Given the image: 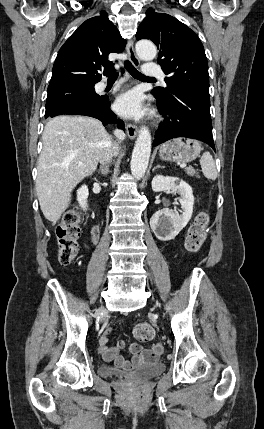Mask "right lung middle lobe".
Returning <instances> with one entry per match:
<instances>
[{
    "mask_svg": "<svg viewBox=\"0 0 264 429\" xmlns=\"http://www.w3.org/2000/svg\"><path fill=\"white\" fill-rule=\"evenodd\" d=\"M95 84H69L48 88L45 117L61 105L73 100L99 101L102 97L96 94Z\"/></svg>",
    "mask_w": 264,
    "mask_h": 429,
    "instance_id": "right-lung-middle-lobe-1",
    "label": "right lung middle lobe"
}]
</instances>
